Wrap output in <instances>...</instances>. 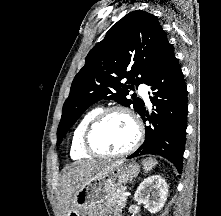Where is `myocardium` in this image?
Segmentation results:
<instances>
[{
	"instance_id": "1",
	"label": "myocardium",
	"mask_w": 221,
	"mask_h": 216,
	"mask_svg": "<svg viewBox=\"0 0 221 216\" xmlns=\"http://www.w3.org/2000/svg\"><path fill=\"white\" fill-rule=\"evenodd\" d=\"M112 113H122L126 115L134 125L135 129V137L133 143L123 151L116 153H107L100 150H97L93 147L91 143V137L95 128L99 125V123L106 118L108 115ZM144 136V127L140 117L129 107L124 105H114L102 109L96 116L92 118V120L86 126L83 136H82V145L84 150L90 155L102 157V158H118L123 157L131 152H133L141 143Z\"/></svg>"
}]
</instances>
